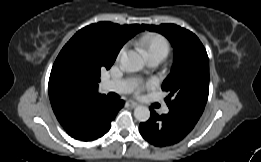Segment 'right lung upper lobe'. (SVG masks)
Segmentation results:
<instances>
[{"label":"right lung upper lobe","instance_id":"1","mask_svg":"<svg viewBox=\"0 0 261 162\" xmlns=\"http://www.w3.org/2000/svg\"><path fill=\"white\" fill-rule=\"evenodd\" d=\"M142 30L143 27L138 24L95 23L79 30L63 47V50H69L79 55L100 53L99 71L93 72L74 88H59L50 77L48 85L50 102L59 123L63 127L71 124L77 116L97 102L107 99L105 95L98 93L100 70L109 69L123 44ZM106 39L110 43L105 48L102 45Z\"/></svg>","mask_w":261,"mask_h":162}]
</instances>
